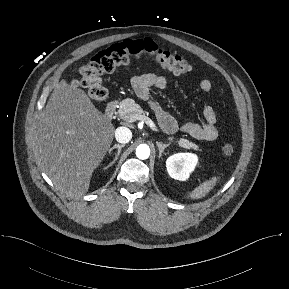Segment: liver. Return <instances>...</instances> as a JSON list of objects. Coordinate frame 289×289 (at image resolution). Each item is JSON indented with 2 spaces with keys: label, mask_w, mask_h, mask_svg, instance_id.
<instances>
[{
  "label": "liver",
  "mask_w": 289,
  "mask_h": 289,
  "mask_svg": "<svg viewBox=\"0 0 289 289\" xmlns=\"http://www.w3.org/2000/svg\"><path fill=\"white\" fill-rule=\"evenodd\" d=\"M115 128L87 94L61 80L37 125L35 156L63 194L84 195L112 144Z\"/></svg>",
  "instance_id": "liver-1"
}]
</instances>
